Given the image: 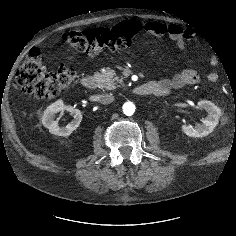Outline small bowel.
Returning <instances> with one entry per match:
<instances>
[{"mask_svg": "<svg viewBox=\"0 0 236 236\" xmlns=\"http://www.w3.org/2000/svg\"><path fill=\"white\" fill-rule=\"evenodd\" d=\"M145 30L155 36L163 37L169 36L180 49L186 47V39L193 38V34L189 33L187 29L177 24H166L158 21H148L144 25ZM215 58L210 57V62H213ZM208 79L211 82H216L219 79L217 72H211L208 75ZM199 82V75L192 69H186L182 72L174 75L171 78H165L158 81H152L150 84L154 87L155 95H166L175 89H179L185 85H193Z\"/></svg>", "mask_w": 236, "mask_h": 236, "instance_id": "obj_1", "label": "small bowel"}]
</instances>
